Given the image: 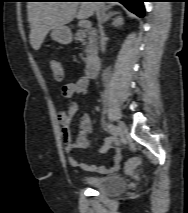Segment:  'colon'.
I'll use <instances>...</instances> for the list:
<instances>
[{"mask_svg":"<svg viewBox=\"0 0 188 213\" xmlns=\"http://www.w3.org/2000/svg\"><path fill=\"white\" fill-rule=\"evenodd\" d=\"M50 68L52 71V74L56 79H63L64 73H63V68L60 64L59 61L57 60H51L50 61ZM140 163V160L138 158H130L125 165L126 171L128 173L132 172L133 169Z\"/></svg>","mask_w":188,"mask_h":213,"instance_id":"1","label":"colon"}]
</instances>
